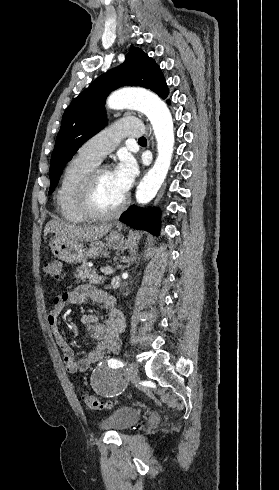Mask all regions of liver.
Wrapping results in <instances>:
<instances>
[{
	"label": "liver",
	"mask_w": 279,
	"mask_h": 490,
	"mask_svg": "<svg viewBox=\"0 0 279 490\" xmlns=\"http://www.w3.org/2000/svg\"><path fill=\"white\" fill-rule=\"evenodd\" d=\"M112 224H102V226H72L64 224L61 220H51L47 222L44 230V236L47 234H56L59 238H68L72 242H93L100 240L109 230Z\"/></svg>",
	"instance_id": "obj_1"
}]
</instances>
